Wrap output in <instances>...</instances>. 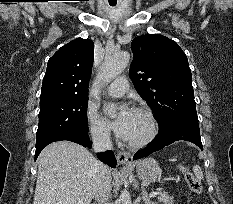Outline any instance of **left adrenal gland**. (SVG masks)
<instances>
[{
  "label": "left adrenal gland",
  "mask_w": 233,
  "mask_h": 204,
  "mask_svg": "<svg viewBox=\"0 0 233 204\" xmlns=\"http://www.w3.org/2000/svg\"><path fill=\"white\" fill-rule=\"evenodd\" d=\"M142 200L144 201L145 204H157L156 202H153L149 197L148 193L145 190L144 187H142Z\"/></svg>",
  "instance_id": "left-adrenal-gland-1"
}]
</instances>
